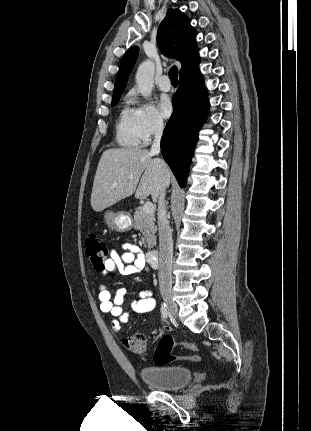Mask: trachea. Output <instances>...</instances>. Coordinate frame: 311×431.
<instances>
[{
  "label": "trachea",
  "instance_id": "3493384b",
  "mask_svg": "<svg viewBox=\"0 0 311 431\" xmlns=\"http://www.w3.org/2000/svg\"><path fill=\"white\" fill-rule=\"evenodd\" d=\"M168 75L172 84H178V69L176 66L170 68Z\"/></svg>",
  "mask_w": 311,
  "mask_h": 431
}]
</instances>
